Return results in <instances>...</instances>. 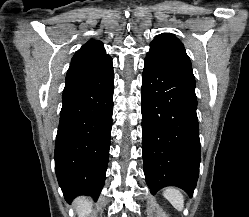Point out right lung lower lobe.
Masks as SVG:
<instances>
[{"label":"right lung lower lobe","mask_w":249,"mask_h":217,"mask_svg":"<svg viewBox=\"0 0 249 217\" xmlns=\"http://www.w3.org/2000/svg\"><path fill=\"white\" fill-rule=\"evenodd\" d=\"M112 59L103 54L70 64L55 143V170L68 202L97 199L105 182L113 113Z\"/></svg>","instance_id":"right-lung-lower-lobe-1"}]
</instances>
